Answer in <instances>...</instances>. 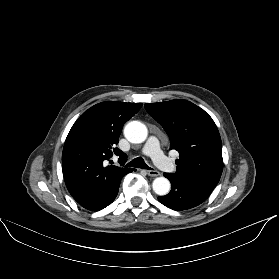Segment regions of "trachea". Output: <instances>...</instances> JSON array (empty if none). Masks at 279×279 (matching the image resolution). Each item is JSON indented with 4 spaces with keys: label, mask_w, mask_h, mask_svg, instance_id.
Masks as SVG:
<instances>
[{
    "label": "trachea",
    "mask_w": 279,
    "mask_h": 279,
    "mask_svg": "<svg viewBox=\"0 0 279 279\" xmlns=\"http://www.w3.org/2000/svg\"><path fill=\"white\" fill-rule=\"evenodd\" d=\"M125 167H135V168L152 170V168H150L141 157H137L133 159L131 162L127 163Z\"/></svg>",
    "instance_id": "obj_1"
}]
</instances>
